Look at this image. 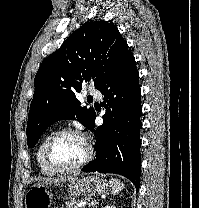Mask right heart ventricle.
I'll list each match as a JSON object with an SVG mask.
<instances>
[{"instance_id": "right-heart-ventricle-1", "label": "right heart ventricle", "mask_w": 199, "mask_h": 208, "mask_svg": "<svg viewBox=\"0 0 199 208\" xmlns=\"http://www.w3.org/2000/svg\"><path fill=\"white\" fill-rule=\"evenodd\" d=\"M55 133L54 130L48 131L40 140L37 151L36 160L41 172L45 175H54L56 172L52 171L45 162L44 149L49 138Z\"/></svg>"}]
</instances>
